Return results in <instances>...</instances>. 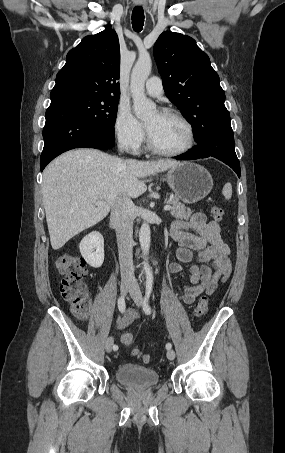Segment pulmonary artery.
Instances as JSON below:
<instances>
[{
	"instance_id": "pulmonary-artery-1",
	"label": "pulmonary artery",
	"mask_w": 285,
	"mask_h": 453,
	"mask_svg": "<svg viewBox=\"0 0 285 453\" xmlns=\"http://www.w3.org/2000/svg\"><path fill=\"white\" fill-rule=\"evenodd\" d=\"M145 92L150 97H160L163 94L162 81L159 77H150L145 84Z\"/></svg>"
}]
</instances>
